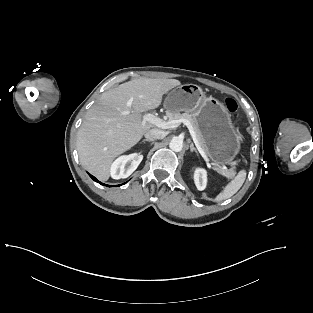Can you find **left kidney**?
I'll return each mask as SVG.
<instances>
[{"mask_svg": "<svg viewBox=\"0 0 313 313\" xmlns=\"http://www.w3.org/2000/svg\"><path fill=\"white\" fill-rule=\"evenodd\" d=\"M194 182L198 190L202 191L207 185V172L202 168H197L194 172Z\"/></svg>", "mask_w": 313, "mask_h": 313, "instance_id": "5707ae66", "label": "left kidney"}]
</instances>
